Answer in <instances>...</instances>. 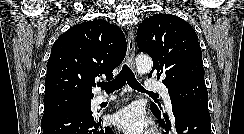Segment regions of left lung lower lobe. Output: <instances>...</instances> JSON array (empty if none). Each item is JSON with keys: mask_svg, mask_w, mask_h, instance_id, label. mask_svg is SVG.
Listing matches in <instances>:
<instances>
[{"mask_svg": "<svg viewBox=\"0 0 244 134\" xmlns=\"http://www.w3.org/2000/svg\"><path fill=\"white\" fill-rule=\"evenodd\" d=\"M151 110L168 131L173 129L176 134H211V119L208 109L192 104H172V112L175 118L173 128H171V122L165 114L154 108Z\"/></svg>", "mask_w": 244, "mask_h": 134, "instance_id": "0a47b994", "label": "left lung lower lobe"}]
</instances>
